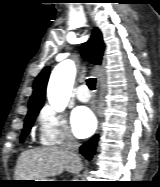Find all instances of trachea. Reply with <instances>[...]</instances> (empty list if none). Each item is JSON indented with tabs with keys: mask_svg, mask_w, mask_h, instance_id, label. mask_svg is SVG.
<instances>
[{
	"mask_svg": "<svg viewBox=\"0 0 160 187\" xmlns=\"http://www.w3.org/2000/svg\"><path fill=\"white\" fill-rule=\"evenodd\" d=\"M87 86L89 87L90 90H95L96 87V79L95 78H89L87 79Z\"/></svg>",
	"mask_w": 160,
	"mask_h": 187,
	"instance_id": "obj_1",
	"label": "trachea"
}]
</instances>
